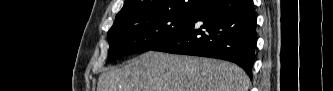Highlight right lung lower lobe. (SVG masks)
I'll return each mask as SVG.
<instances>
[{"instance_id": "right-lung-lower-lobe-1", "label": "right lung lower lobe", "mask_w": 333, "mask_h": 91, "mask_svg": "<svg viewBox=\"0 0 333 91\" xmlns=\"http://www.w3.org/2000/svg\"><path fill=\"white\" fill-rule=\"evenodd\" d=\"M256 23L253 0H211L152 50L232 61L252 78Z\"/></svg>"}]
</instances>
